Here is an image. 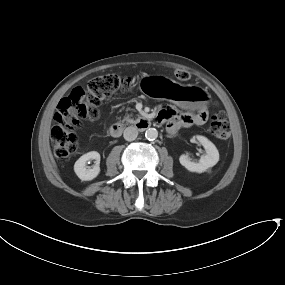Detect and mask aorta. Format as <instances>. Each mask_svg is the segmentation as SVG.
<instances>
[{"mask_svg":"<svg viewBox=\"0 0 285 285\" xmlns=\"http://www.w3.org/2000/svg\"><path fill=\"white\" fill-rule=\"evenodd\" d=\"M145 137L152 141L155 140L158 137V131L155 128H148L145 132Z\"/></svg>","mask_w":285,"mask_h":285,"instance_id":"762f6f07","label":"aorta"}]
</instances>
